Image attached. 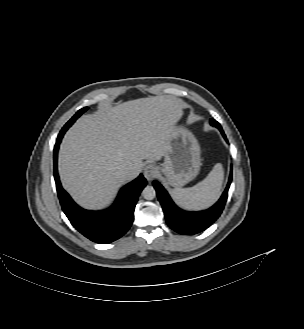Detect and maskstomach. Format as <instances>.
<instances>
[{
	"label": "stomach",
	"instance_id": "stomach-1",
	"mask_svg": "<svg viewBox=\"0 0 304 329\" xmlns=\"http://www.w3.org/2000/svg\"><path fill=\"white\" fill-rule=\"evenodd\" d=\"M200 155L195 136L184 126H176L159 170L171 186H184L198 175L202 165Z\"/></svg>",
	"mask_w": 304,
	"mask_h": 329
}]
</instances>
